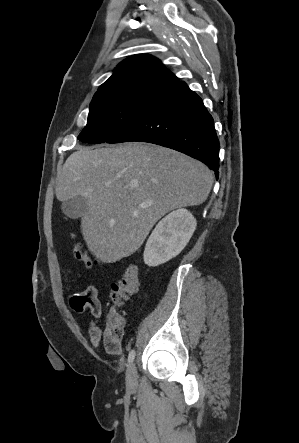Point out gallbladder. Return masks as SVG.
I'll return each instance as SVG.
<instances>
[{
  "mask_svg": "<svg viewBox=\"0 0 299 443\" xmlns=\"http://www.w3.org/2000/svg\"><path fill=\"white\" fill-rule=\"evenodd\" d=\"M61 209L71 219L80 218L88 210V199L81 195L71 197L62 203Z\"/></svg>",
  "mask_w": 299,
  "mask_h": 443,
  "instance_id": "gallbladder-1",
  "label": "gallbladder"
}]
</instances>
